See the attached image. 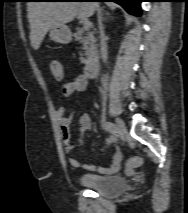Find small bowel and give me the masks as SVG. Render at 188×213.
<instances>
[{
	"label": "small bowel",
	"instance_id": "small-bowel-1",
	"mask_svg": "<svg viewBox=\"0 0 188 213\" xmlns=\"http://www.w3.org/2000/svg\"><path fill=\"white\" fill-rule=\"evenodd\" d=\"M88 81L85 76H78L73 81L64 82L61 85L62 94L66 98H70L74 93L77 92H85L87 90ZM75 106H71L68 111L64 109V107H59L56 111L57 118L60 123L61 137L64 144V150L66 153H71L76 146H84L85 145V136L87 132L91 128V118L90 115L84 113L81 115L79 119V128H80V136L78 138L77 144L72 142L71 135V122L72 116L75 112ZM115 142L114 137H110L107 140V145H110ZM123 155L119 148H116L112 160L109 165L100 166L96 168L94 165H86L82 164L81 161L76 157H69L68 161L72 167L75 168H84L89 171H98L102 174H110L117 172L122 163Z\"/></svg>",
	"mask_w": 188,
	"mask_h": 213
}]
</instances>
